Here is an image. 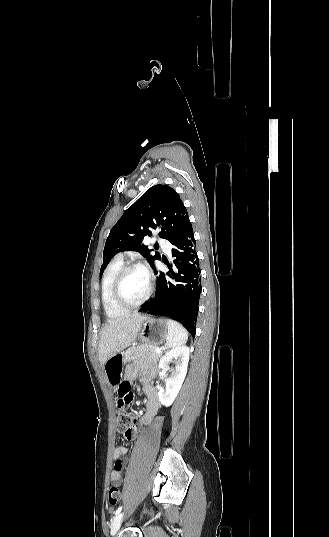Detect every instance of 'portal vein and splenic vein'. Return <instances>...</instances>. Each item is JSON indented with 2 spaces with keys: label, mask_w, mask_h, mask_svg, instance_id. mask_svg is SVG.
Listing matches in <instances>:
<instances>
[{
  "label": "portal vein and splenic vein",
  "mask_w": 329,
  "mask_h": 537,
  "mask_svg": "<svg viewBox=\"0 0 329 537\" xmlns=\"http://www.w3.org/2000/svg\"><path fill=\"white\" fill-rule=\"evenodd\" d=\"M157 353H160L161 352V348H156L155 350Z\"/></svg>",
  "instance_id": "portal-vein-and-splenic-vein-1"
}]
</instances>
